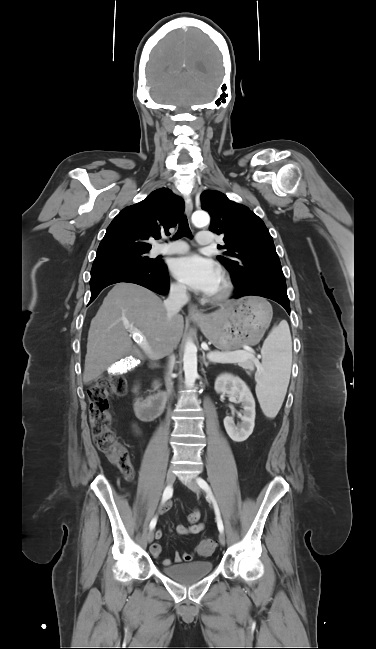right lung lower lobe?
Wrapping results in <instances>:
<instances>
[{"label":"right lung lower lobe","mask_w":376,"mask_h":649,"mask_svg":"<svg viewBox=\"0 0 376 649\" xmlns=\"http://www.w3.org/2000/svg\"><path fill=\"white\" fill-rule=\"evenodd\" d=\"M119 282L135 283L158 294H166L169 290V276L163 261H156L152 265L110 263L91 269L89 303L105 287Z\"/></svg>","instance_id":"1"}]
</instances>
